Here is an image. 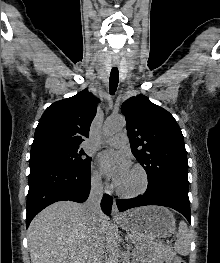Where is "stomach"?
Returning <instances> with one entry per match:
<instances>
[{"instance_id":"1","label":"stomach","mask_w":220,"mask_h":263,"mask_svg":"<svg viewBox=\"0 0 220 263\" xmlns=\"http://www.w3.org/2000/svg\"><path fill=\"white\" fill-rule=\"evenodd\" d=\"M119 223L144 245L170 236L176 230L173 213L161 206H145L128 211L122 215Z\"/></svg>"}]
</instances>
